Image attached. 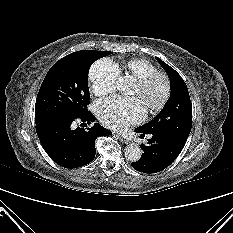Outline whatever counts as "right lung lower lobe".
I'll return each instance as SVG.
<instances>
[{
    "mask_svg": "<svg viewBox=\"0 0 233 233\" xmlns=\"http://www.w3.org/2000/svg\"><path fill=\"white\" fill-rule=\"evenodd\" d=\"M76 119L90 124L95 116L88 110L74 118H64L36 123L39 140L52 160L65 168H77L90 163L96 154L95 140L112 134L98 123L84 130L71 128Z\"/></svg>",
    "mask_w": 233,
    "mask_h": 233,
    "instance_id": "obj_1",
    "label": "right lung lower lobe"
}]
</instances>
